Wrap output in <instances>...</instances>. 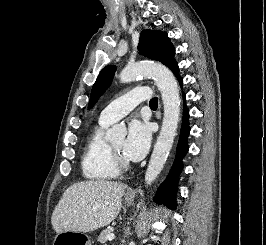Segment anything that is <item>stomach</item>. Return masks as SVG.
<instances>
[{
    "instance_id": "obj_1",
    "label": "stomach",
    "mask_w": 266,
    "mask_h": 245,
    "mask_svg": "<svg viewBox=\"0 0 266 245\" xmlns=\"http://www.w3.org/2000/svg\"><path fill=\"white\" fill-rule=\"evenodd\" d=\"M124 205L126 207L132 205V201L127 195L124 199ZM57 242H72L73 245H91L90 237L85 235V233H77V231H73V233H57Z\"/></svg>"
}]
</instances>
